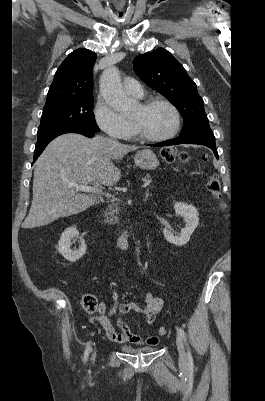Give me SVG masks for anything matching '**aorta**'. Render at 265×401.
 <instances>
[{"instance_id": "aorta-1", "label": "aorta", "mask_w": 265, "mask_h": 401, "mask_svg": "<svg viewBox=\"0 0 265 401\" xmlns=\"http://www.w3.org/2000/svg\"><path fill=\"white\" fill-rule=\"evenodd\" d=\"M100 92L106 102L115 110H120V112L129 110V98L123 90L119 70L116 66H109L103 70L100 78Z\"/></svg>"}]
</instances>
